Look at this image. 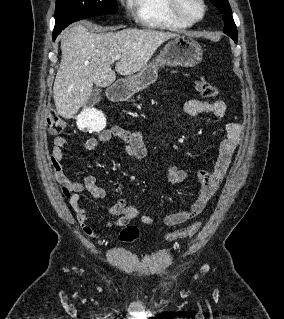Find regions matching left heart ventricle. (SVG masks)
Returning <instances> with one entry per match:
<instances>
[{
  "label": "left heart ventricle",
  "instance_id": "obj_1",
  "mask_svg": "<svg viewBox=\"0 0 284 319\" xmlns=\"http://www.w3.org/2000/svg\"><path fill=\"white\" fill-rule=\"evenodd\" d=\"M182 10L191 19L199 18L202 14V6L199 0H181Z\"/></svg>",
  "mask_w": 284,
  "mask_h": 319
}]
</instances>
